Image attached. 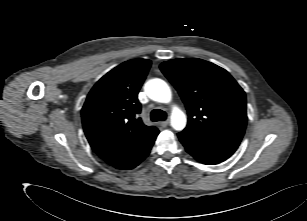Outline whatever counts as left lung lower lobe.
<instances>
[{
    "label": "left lung lower lobe",
    "mask_w": 307,
    "mask_h": 221,
    "mask_svg": "<svg viewBox=\"0 0 307 221\" xmlns=\"http://www.w3.org/2000/svg\"><path fill=\"white\" fill-rule=\"evenodd\" d=\"M178 137L189 154L208 165L226 160L240 144L237 140L201 135L187 130L178 133Z\"/></svg>",
    "instance_id": "obj_1"
}]
</instances>
